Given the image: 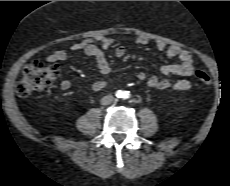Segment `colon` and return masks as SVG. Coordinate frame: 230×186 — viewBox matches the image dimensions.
Masks as SVG:
<instances>
[{
  "instance_id": "5ec220e1",
  "label": "colon",
  "mask_w": 230,
  "mask_h": 186,
  "mask_svg": "<svg viewBox=\"0 0 230 186\" xmlns=\"http://www.w3.org/2000/svg\"><path fill=\"white\" fill-rule=\"evenodd\" d=\"M59 69L55 65H46L39 61L28 64L22 72L17 85V92L21 96H28L49 87L58 77ZM203 85L209 86L212 80L205 72L196 70L192 74Z\"/></svg>"
}]
</instances>
